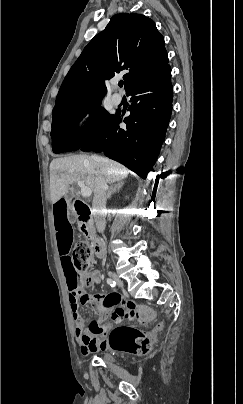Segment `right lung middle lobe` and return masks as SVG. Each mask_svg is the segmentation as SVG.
Wrapping results in <instances>:
<instances>
[{
  "label": "right lung middle lobe",
  "mask_w": 243,
  "mask_h": 404,
  "mask_svg": "<svg viewBox=\"0 0 243 404\" xmlns=\"http://www.w3.org/2000/svg\"><path fill=\"white\" fill-rule=\"evenodd\" d=\"M101 99L92 100L52 116L51 137L54 153L79 150L113 120L115 115H110L100 107ZM86 113L90 114L92 122L86 129H78L77 124Z\"/></svg>",
  "instance_id": "dd1d6c3e"
}]
</instances>
